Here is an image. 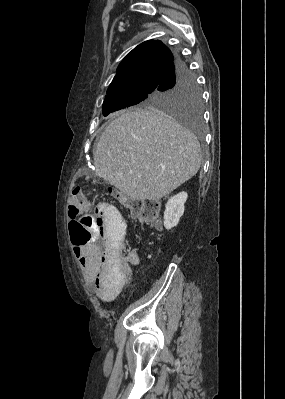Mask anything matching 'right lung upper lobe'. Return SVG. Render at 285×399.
I'll return each instance as SVG.
<instances>
[{
	"instance_id": "1",
	"label": "right lung upper lobe",
	"mask_w": 285,
	"mask_h": 399,
	"mask_svg": "<svg viewBox=\"0 0 285 399\" xmlns=\"http://www.w3.org/2000/svg\"><path fill=\"white\" fill-rule=\"evenodd\" d=\"M175 57L159 40H148L135 47L119 64L107 95L139 89H157Z\"/></svg>"
}]
</instances>
